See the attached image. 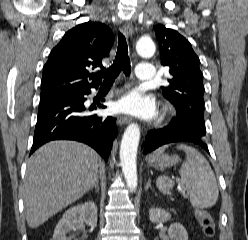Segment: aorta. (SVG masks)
<instances>
[{
  "instance_id": "1",
  "label": "aorta",
  "mask_w": 248,
  "mask_h": 240,
  "mask_svg": "<svg viewBox=\"0 0 248 240\" xmlns=\"http://www.w3.org/2000/svg\"><path fill=\"white\" fill-rule=\"evenodd\" d=\"M137 53L145 58L155 53V44L150 38L143 37L136 44ZM140 141V128L132 123L127 126L120 145V165L128 188L135 191L138 185L137 177V149Z\"/></svg>"
}]
</instances>
